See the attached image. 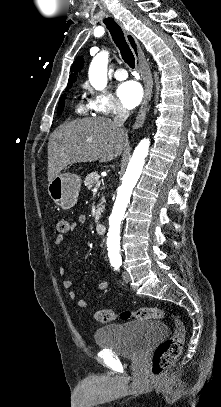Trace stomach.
I'll use <instances>...</instances> for the list:
<instances>
[{"label": "stomach", "instance_id": "obj_1", "mask_svg": "<svg viewBox=\"0 0 221 407\" xmlns=\"http://www.w3.org/2000/svg\"><path fill=\"white\" fill-rule=\"evenodd\" d=\"M81 179L70 172H60L48 184V193L51 199L62 209H71L78 200Z\"/></svg>", "mask_w": 221, "mask_h": 407}]
</instances>
